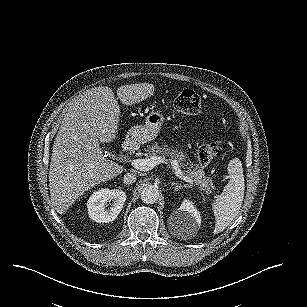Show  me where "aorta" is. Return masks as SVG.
<instances>
[{"instance_id":"762f6f07","label":"aorta","mask_w":307,"mask_h":307,"mask_svg":"<svg viewBox=\"0 0 307 307\" xmlns=\"http://www.w3.org/2000/svg\"><path fill=\"white\" fill-rule=\"evenodd\" d=\"M140 196L143 202L148 204H154L158 201L160 197V192L156 187L148 185L142 189Z\"/></svg>"}]
</instances>
